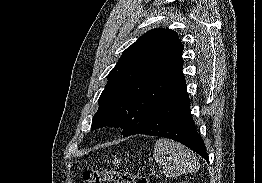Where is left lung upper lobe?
<instances>
[{"label": "left lung upper lobe", "instance_id": "5c2ea615", "mask_svg": "<svg viewBox=\"0 0 262 183\" xmlns=\"http://www.w3.org/2000/svg\"><path fill=\"white\" fill-rule=\"evenodd\" d=\"M178 33L153 29L128 47L108 75L91 130L121 127L123 137L148 123L155 110L184 82Z\"/></svg>", "mask_w": 262, "mask_h": 183}]
</instances>
